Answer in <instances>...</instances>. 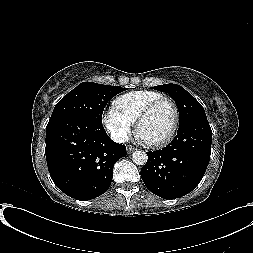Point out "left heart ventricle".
Segmentation results:
<instances>
[{
	"label": "left heart ventricle",
	"instance_id": "1",
	"mask_svg": "<svg viewBox=\"0 0 253 253\" xmlns=\"http://www.w3.org/2000/svg\"><path fill=\"white\" fill-rule=\"evenodd\" d=\"M173 123V108L169 103L164 102L158 105L141 124L139 135L146 142L160 141L170 132Z\"/></svg>",
	"mask_w": 253,
	"mask_h": 253
}]
</instances>
